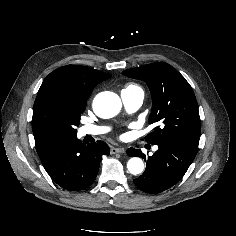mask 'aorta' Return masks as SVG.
I'll return each instance as SVG.
<instances>
[{"label":"aorta","mask_w":236,"mask_h":236,"mask_svg":"<svg viewBox=\"0 0 236 236\" xmlns=\"http://www.w3.org/2000/svg\"><path fill=\"white\" fill-rule=\"evenodd\" d=\"M122 107L121 99L113 92L105 91L96 95L93 101L94 112L102 118H112L116 116ZM128 171L137 175L143 172L144 163L138 157L131 158L127 163Z\"/></svg>","instance_id":"1"}]
</instances>
